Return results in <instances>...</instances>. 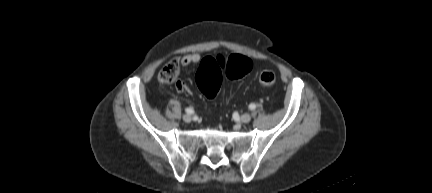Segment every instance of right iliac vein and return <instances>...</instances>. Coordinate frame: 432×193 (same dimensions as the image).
<instances>
[{"instance_id":"63e3f726","label":"right iliac vein","mask_w":432,"mask_h":193,"mask_svg":"<svg viewBox=\"0 0 432 193\" xmlns=\"http://www.w3.org/2000/svg\"><path fill=\"white\" fill-rule=\"evenodd\" d=\"M183 120H184L185 122L189 123V122H191L192 117H191L189 114H185V115L183 116Z\"/></svg>"}]
</instances>
